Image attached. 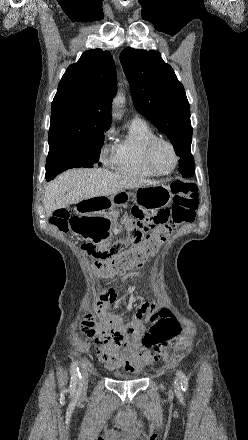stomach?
I'll return each mask as SVG.
<instances>
[{
  "mask_svg": "<svg viewBox=\"0 0 248 440\" xmlns=\"http://www.w3.org/2000/svg\"><path fill=\"white\" fill-rule=\"evenodd\" d=\"M131 193L121 191L110 197H94L84 201V204H74L73 211L79 218L70 219V230L76 232L77 237H83L85 246H103V241H108L112 224L109 213L105 208L127 206ZM172 198L170 187L157 183L139 187L135 196L136 200L144 202L151 209L167 206Z\"/></svg>",
  "mask_w": 248,
  "mask_h": 440,
  "instance_id": "0dacf381",
  "label": "stomach"
}]
</instances>
